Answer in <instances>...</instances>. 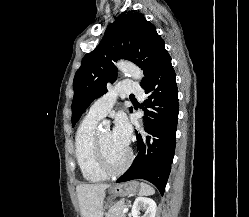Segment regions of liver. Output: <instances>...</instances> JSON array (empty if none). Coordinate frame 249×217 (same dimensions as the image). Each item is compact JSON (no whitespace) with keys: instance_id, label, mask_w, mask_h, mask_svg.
Segmentation results:
<instances>
[{"instance_id":"1","label":"liver","mask_w":249,"mask_h":217,"mask_svg":"<svg viewBox=\"0 0 249 217\" xmlns=\"http://www.w3.org/2000/svg\"><path fill=\"white\" fill-rule=\"evenodd\" d=\"M109 184H81L76 187L82 217H103L105 190Z\"/></svg>"}]
</instances>
